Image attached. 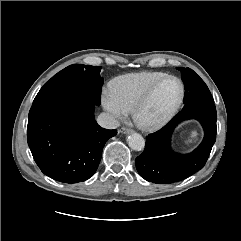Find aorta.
<instances>
[{
    "label": "aorta",
    "instance_id": "obj_1",
    "mask_svg": "<svg viewBox=\"0 0 241 241\" xmlns=\"http://www.w3.org/2000/svg\"><path fill=\"white\" fill-rule=\"evenodd\" d=\"M127 141L129 147L135 151H142L145 147V140L139 133H131Z\"/></svg>",
    "mask_w": 241,
    "mask_h": 241
}]
</instances>
